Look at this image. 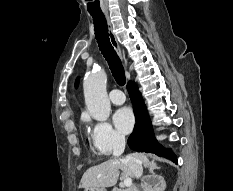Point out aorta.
Wrapping results in <instances>:
<instances>
[{
	"instance_id": "762f6f07",
	"label": "aorta",
	"mask_w": 233,
	"mask_h": 191,
	"mask_svg": "<svg viewBox=\"0 0 233 191\" xmlns=\"http://www.w3.org/2000/svg\"><path fill=\"white\" fill-rule=\"evenodd\" d=\"M107 77L102 70H93L84 80V97L90 115L98 121H106L111 105L106 92Z\"/></svg>"
}]
</instances>
